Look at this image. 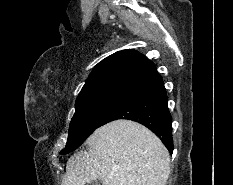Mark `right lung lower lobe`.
Masks as SVG:
<instances>
[{"label": "right lung lower lobe", "mask_w": 233, "mask_h": 185, "mask_svg": "<svg viewBox=\"0 0 233 185\" xmlns=\"http://www.w3.org/2000/svg\"><path fill=\"white\" fill-rule=\"evenodd\" d=\"M167 101L163 80L156 75L130 90L104 117L99 127L117 119L136 121L154 132L172 153V117Z\"/></svg>", "instance_id": "1"}]
</instances>
